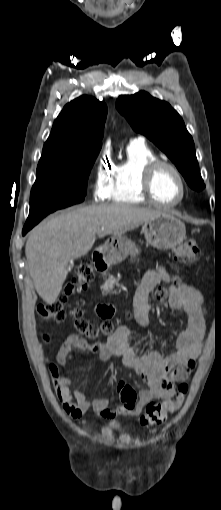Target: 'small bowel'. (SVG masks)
<instances>
[{"label": "small bowel", "instance_id": "c3829d8e", "mask_svg": "<svg viewBox=\"0 0 221 510\" xmlns=\"http://www.w3.org/2000/svg\"><path fill=\"white\" fill-rule=\"evenodd\" d=\"M173 276L165 266L156 267L144 276L135 295V319L141 326L149 324L147 299L152 289L160 282H171ZM169 307L173 311H183L187 318L186 329L172 338L173 350L162 354L150 351L140 354L139 347L131 343V330L127 327L117 329L105 341L89 344L83 337L71 334L59 347L56 354L57 364L50 366L57 396L64 411L74 420L92 410L98 416L114 420L117 416H137L153 400L168 399L174 396V384L184 381L201 354L206 329V310L199 290L192 284L176 282L171 286ZM74 350L88 351L101 362L114 357L122 359L124 365L142 376L147 388L137 393L123 379H119L116 389L122 404L112 409L108 398L90 401L79 390H72V379L64 374L70 361L81 357Z\"/></svg>", "mask_w": 221, "mask_h": 510}]
</instances>
